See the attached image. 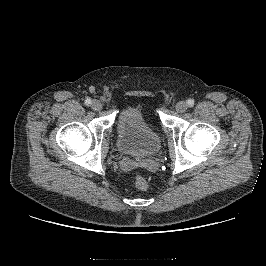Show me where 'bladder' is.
<instances>
[{
	"label": "bladder",
	"mask_w": 266,
	"mask_h": 266,
	"mask_svg": "<svg viewBox=\"0 0 266 266\" xmlns=\"http://www.w3.org/2000/svg\"><path fill=\"white\" fill-rule=\"evenodd\" d=\"M117 147L125 155L148 158L158 153L160 136L136 108L122 110L117 122Z\"/></svg>",
	"instance_id": "bladder-1"
}]
</instances>
